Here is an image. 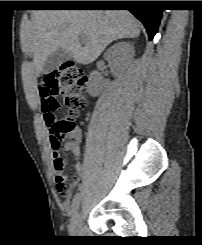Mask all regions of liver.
I'll list each match as a JSON object with an SVG mask.
<instances>
[{"label":"liver","mask_w":202,"mask_h":245,"mask_svg":"<svg viewBox=\"0 0 202 245\" xmlns=\"http://www.w3.org/2000/svg\"><path fill=\"white\" fill-rule=\"evenodd\" d=\"M85 34L82 47L79 35ZM140 35L137 20L126 10H37L21 31L24 52L33 53L38 73L59 48L72 53L76 63L90 64L113 41Z\"/></svg>","instance_id":"1"}]
</instances>
